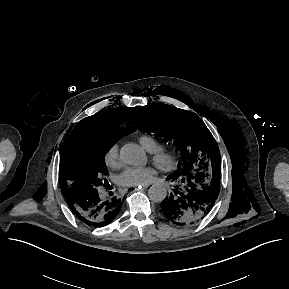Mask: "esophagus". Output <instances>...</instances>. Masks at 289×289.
Masks as SVG:
<instances>
[{"mask_svg":"<svg viewBox=\"0 0 289 289\" xmlns=\"http://www.w3.org/2000/svg\"><path fill=\"white\" fill-rule=\"evenodd\" d=\"M149 186H150V184H147V185H143L141 188H142V189H147ZM134 189H135V190H138L139 187H135Z\"/></svg>","mask_w":289,"mask_h":289,"instance_id":"esophagus-1","label":"esophagus"}]
</instances>
